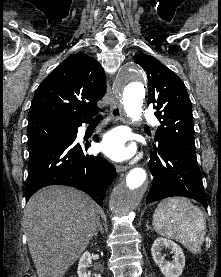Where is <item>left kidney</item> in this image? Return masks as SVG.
<instances>
[{
    "label": "left kidney",
    "mask_w": 221,
    "mask_h": 277,
    "mask_svg": "<svg viewBox=\"0 0 221 277\" xmlns=\"http://www.w3.org/2000/svg\"><path fill=\"white\" fill-rule=\"evenodd\" d=\"M164 248L171 249L174 253L172 261L165 260V255L162 254ZM151 254L154 262L165 277H179L182 274L185 266V256L181 247L175 242L159 237L151 247Z\"/></svg>",
    "instance_id": "1"
}]
</instances>
